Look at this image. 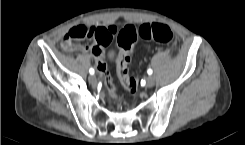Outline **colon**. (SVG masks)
Here are the masks:
<instances>
[{"mask_svg": "<svg viewBox=\"0 0 245 145\" xmlns=\"http://www.w3.org/2000/svg\"><path fill=\"white\" fill-rule=\"evenodd\" d=\"M109 32L112 36H116L118 43L116 74L122 85L130 92L137 90L138 81L136 78L130 77L128 74V64L130 62V51L138 38L146 41H156L168 44L173 39V32L169 26L161 23H144L139 27L126 25L121 30L117 27H110ZM104 33L99 31L98 34ZM97 37V31L92 27L85 25H77L72 27L64 38V44L70 43L72 40H94ZM98 69L102 75L106 92L113 96L114 88L111 83L110 73L107 65H99Z\"/></svg>", "mask_w": 245, "mask_h": 145, "instance_id": "5ec220e1", "label": "colon"}]
</instances>
